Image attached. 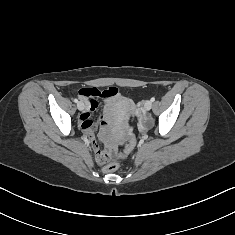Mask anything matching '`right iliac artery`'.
<instances>
[{
  "instance_id": "right-iliac-artery-1",
  "label": "right iliac artery",
  "mask_w": 235,
  "mask_h": 235,
  "mask_svg": "<svg viewBox=\"0 0 235 235\" xmlns=\"http://www.w3.org/2000/svg\"><path fill=\"white\" fill-rule=\"evenodd\" d=\"M74 102H75V103H78V99H74Z\"/></svg>"
}]
</instances>
